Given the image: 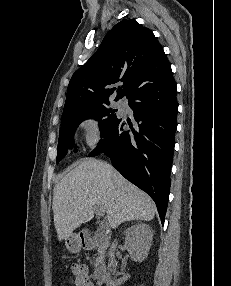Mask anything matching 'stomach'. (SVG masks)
<instances>
[{
  "mask_svg": "<svg viewBox=\"0 0 231 286\" xmlns=\"http://www.w3.org/2000/svg\"><path fill=\"white\" fill-rule=\"evenodd\" d=\"M66 248L72 252L77 253L81 249V244L78 235L72 234L65 241Z\"/></svg>",
  "mask_w": 231,
  "mask_h": 286,
  "instance_id": "0dacf381",
  "label": "stomach"
}]
</instances>
